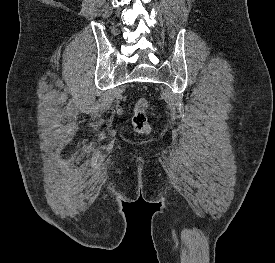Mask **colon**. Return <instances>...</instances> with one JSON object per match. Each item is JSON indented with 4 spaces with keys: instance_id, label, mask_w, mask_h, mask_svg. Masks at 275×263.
I'll use <instances>...</instances> for the list:
<instances>
[{
    "instance_id": "1",
    "label": "colon",
    "mask_w": 275,
    "mask_h": 263,
    "mask_svg": "<svg viewBox=\"0 0 275 263\" xmlns=\"http://www.w3.org/2000/svg\"><path fill=\"white\" fill-rule=\"evenodd\" d=\"M149 102L146 98H137L134 104L132 124L134 130L140 134H147L151 130L148 120Z\"/></svg>"
}]
</instances>
